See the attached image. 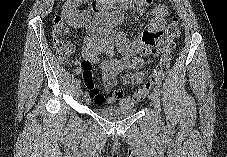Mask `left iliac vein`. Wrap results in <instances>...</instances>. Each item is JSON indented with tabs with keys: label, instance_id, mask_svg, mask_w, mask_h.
Masks as SVG:
<instances>
[{
	"label": "left iliac vein",
	"instance_id": "left-iliac-vein-1",
	"mask_svg": "<svg viewBox=\"0 0 227 157\" xmlns=\"http://www.w3.org/2000/svg\"><path fill=\"white\" fill-rule=\"evenodd\" d=\"M151 100H152V105L155 109V113L158 116L159 111H160V100L158 97V94L156 92H153L150 96Z\"/></svg>",
	"mask_w": 227,
	"mask_h": 157
}]
</instances>
